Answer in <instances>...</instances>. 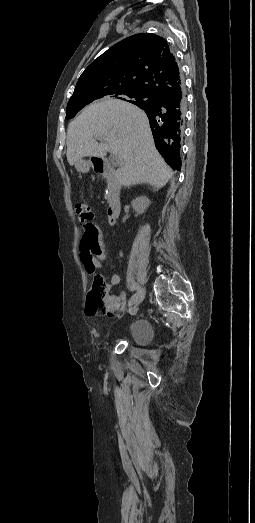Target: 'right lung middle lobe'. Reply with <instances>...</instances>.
<instances>
[{
	"mask_svg": "<svg viewBox=\"0 0 255 523\" xmlns=\"http://www.w3.org/2000/svg\"><path fill=\"white\" fill-rule=\"evenodd\" d=\"M148 95L144 92H125L120 95L115 96L114 98L122 99L127 102L133 103L135 101H141L146 100ZM87 104H76V105H70L67 106V114L66 119L73 118L83 107H85Z\"/></svg>",
	"mask_w": 255,
	"mask_h": 523,
	"instance_id": "obj_1",
	"label": "right lung middle lobe"
}]
</instances>
